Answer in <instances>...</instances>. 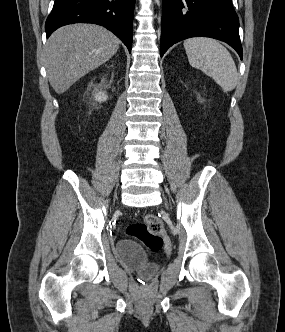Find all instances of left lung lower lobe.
I'll return each mask as SVG.
<instances>
[{"mask_svg": "<svg viewBox=\"0 0 285 332\" xmlns=\"http://www.w3.org/2000/svg\"><path fill=\"white\" fill-rule=\"evenodd\" d=\"M195 36L224 41L242 59L239 19L232 0H163L160 56L173 44Z\"/></svg>", "mask_w": 285, "mask_h": 332, "instance_id": "left-lung-lower-lobe-1", "label": "left lung lower lobe"}]
</instances>
